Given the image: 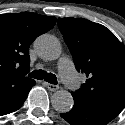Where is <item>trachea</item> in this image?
<instances>
[{"mask_svg": "<svg viewBox=\"0 0 125 125\" xmlns=\"http://www.w3.org/2000/svg\"><path fill=\"white\" fill-rule=\"evenodd\" d=\"M29 77L34 79L42 80L44 79L46 82L56 85L57 77L52 73H47L44 70H34L29 74Z\"/></svg>", "mask_w": 125, "mask_h": 125, "instance_id": "3493384b", "label": "trachea"}]
</instances>
